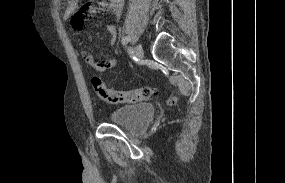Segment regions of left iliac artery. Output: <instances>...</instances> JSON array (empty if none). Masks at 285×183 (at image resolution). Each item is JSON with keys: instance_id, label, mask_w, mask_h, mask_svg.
I'll return each instance as SVG.
<instances>
[{"instance_id": "obj_1", "label": "left iliac artery", "mask_w": 285, "mask_h": 183, "mask_svg": "<svg viewBox=\"0 0 285 183\" xmlns=\"http://www.w3.org/2000/svg\"><path fill=\"white\" fill-rule=\"evenodd\" d=\"M130 41V37L129 36H126L122 39V44H127L128 42Z\"/></svg>"}]
</instances>
